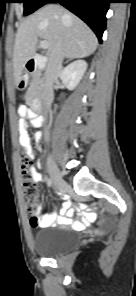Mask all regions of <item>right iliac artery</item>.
Listing matches in <instances>:
<instances>
[{"instance_id": "right-iliac-artery-1", "label": "right iliac artery", "mask_w": 136, "mask_h": 296, "mask_svg": "<svg viewBox=\"0 0 136 296\" xmlns=\"http://www.w3.org/2000/svg\"><path fill=\"white\" fill-rule=\"evenodd\" d=\"M47 184H48L49 187L52 185V181H51L50 178L47 179Z\"/></svg>"}]
</instances>
